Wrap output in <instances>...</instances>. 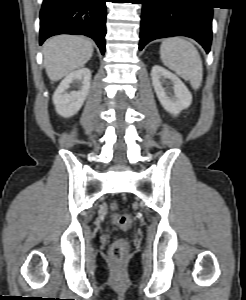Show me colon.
<instances>
[{
  "label": "colon",
  "instance_id": "obj_1",
  "mask_svg": "<svg viewBox=\"0 0 246 300\" xmlns=\"http://www.w3.org/2000/svg\"><path fill=\"white\" fill-rule=\"evenodd\" d=\"M111 207L114 209L115 204H112ZM116 224L123 230L130 228L132 220L129 215H116L115 216ZM128 255V243L125 240L115 241L110 249V258L113 262L119 263L123 261Z\"/></svg>",
  "mask_w": 246,
  "mask_h": 300
}]
</instances>
